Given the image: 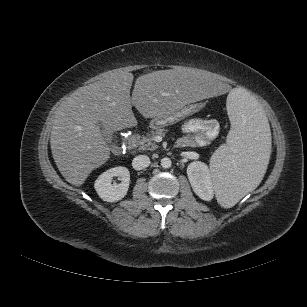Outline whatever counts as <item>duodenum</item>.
Returning <instances> with one entry per match:
<instances>
[{"label":"duodenum","mask_w":307,"mask_h":307,"mask_svg":"<svg viewBox=\"0 0 307 307\" xmlns=\"http://www.w3.org/2000/svg\"><path fill=\"white\" fill-rule=\"evenodd\" d=\"M138 144V138L136 135H132L128 138L127 143H126V150L132 151L137 147ZM181 145V144H179ZM182 146V145H181Z\"/></svg>","instance_id":"410a0bca"}]
</instances>
